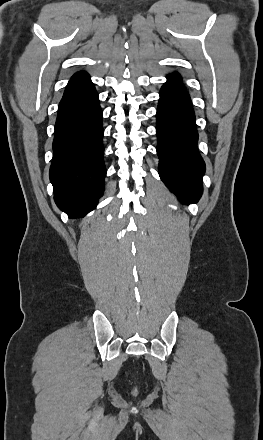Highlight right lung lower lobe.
<instances>
[{
  "instance_id": "obj_1",
  "label": "right lung lower lobe",
  "mask_w": 263,
  "mask_h": 440,
  "mask_svg": "<svg viewBox=\"0 0 263 440\" xmlns=\"http://www.w3.org/2000/svg\"><path fill=\"white\" fill-rule=\"evenodd\" d=\"M102 116L90 76L74 74L59 104L49 173L57 206L72 218L92 211L104 191Z\"/></svg>"
}]
</instances>
